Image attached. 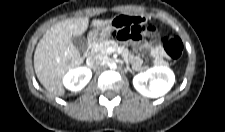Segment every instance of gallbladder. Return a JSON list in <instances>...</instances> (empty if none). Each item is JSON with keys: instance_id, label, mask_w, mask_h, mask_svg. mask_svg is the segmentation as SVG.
<instances>
[{"instance_id": "obj_1", "label": "gallbladder", "mask_w": 225, "mask_h": 132, "mask_svg": "<svg viewBox=\"0 0 225 132\" xmlns=\"http://www.w3.org/2000/svg\"><path fill=\"white\" fill-rule=\"evenodd\" d=\"M72 44L80 53L85 52L87 49V40L83 36H73Z\"/></svg>"}]
</instances>
